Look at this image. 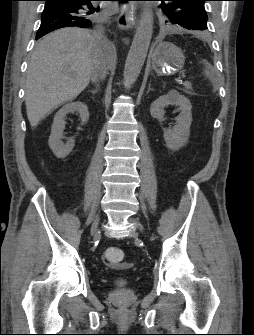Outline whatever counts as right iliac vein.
Returning a JSON list of instances; mask_svg holds the SVG:
<instances>
[{
    "label": "right iliac vein",
    "instance_id": "obj_1",
    "mask_svg": "<svg viewBox=\"0 0 254 335\" xmlns=\"http://www.w3.org/2000/svg\"><path fill=\"white\" fill-rule=\"evenodd\" d=\"M99 220H100L99 216H97V217L94 219V221H93V223H92V226H91V233H92V234L97 235V234L99 233V229H98Z\"/></svg>",
    "mask_w": 254,
    "mask_h": 335
}]
</instances>
